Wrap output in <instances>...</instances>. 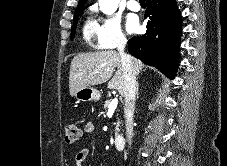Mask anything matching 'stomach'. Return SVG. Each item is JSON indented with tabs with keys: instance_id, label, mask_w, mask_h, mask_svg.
Wrapping results in <instances>:
<instances>
[{
	"instance_id": "0dacf381",
	"label": "stomach",
	"mask_w": 227,
	"mask_h": 166,
	"mask_svg": "<svg viewBox=\"0 0 227 166\" xmlns=\"http://www.w3.org/2000/svg\"><path fill=\"white\" fill-rule=\"evenodd\" d=\"M74 96L77 99V101L85 102V101H98L101 97V94L97 89L91 86H88V87L79 89Z\"/></svg>"
}]
</instances>
